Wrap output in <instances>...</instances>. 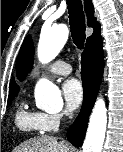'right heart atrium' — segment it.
I'll return each mask as SVG.
<instances>
[{"mask_svg": "<svg viewBox=\"0 0 123 152\" xmlns=\"http://www.w3.org/2000/svg\"><path fill=\"white\" fill-rule=\"evenodd\" d=\"M67 116V112L54 114L39 113V122L43 131L50 132L57 129L62 120Z\"/></svg>", "mask_w": 123, "mask_h": 152, "instance_id": "1", "label": "right heart atrium"}]
</instances>
